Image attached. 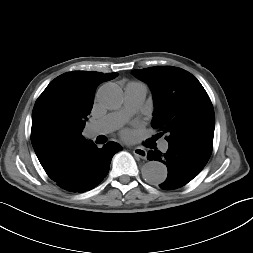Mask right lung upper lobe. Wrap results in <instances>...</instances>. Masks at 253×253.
Returning <instances> with one entry per match:
<instances>
[{
    "instance_id": "cb5924a9",
    "label": "right lung upper lobe",
    "mask_w": 253,
    "mask_h": 253,
    "mask_svg": "<svg viewBox=\"0 0 253 253\" xmlns=\"http://www.w3.org/2000/svg\"><path fill=\"white\" fill-rule=\"evenodd\" d=\"M118 73L74 71L49 83L32 112L31 142L35 153L55 182L62 181L72 155L85 141L82 130L93 107L97 86Z\"/></svg>"
}]
</instances>
